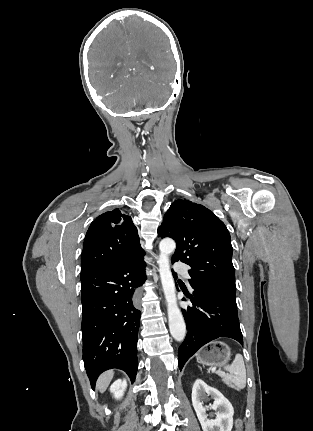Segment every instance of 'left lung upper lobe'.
<instances>
[{
  "label": "left lung upper lobe",
  "instance_id": "obj_1",
  "mask_svg": "<svg viewBox=\"0 0 313 431\" xmlns=\"http://www.w3.org/2000/svg\"><path fill=\"white\" fill-rule=\"evenodd\" d=\"M158 233L171 237L177 247L172 262L181 260L189 270L191 287L236 296L230 234L224 223L206 207L185 199L174 201Z\"/></svg>",
  "mask_w": 313,
  "mask_h": 431
}]
</instances>
